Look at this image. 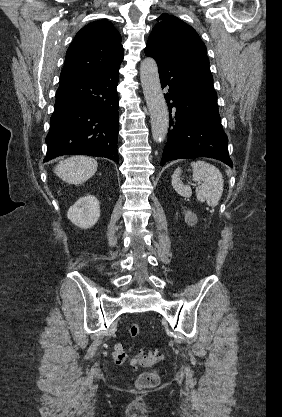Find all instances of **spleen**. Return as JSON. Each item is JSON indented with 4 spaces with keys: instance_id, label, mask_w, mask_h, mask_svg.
Returning a JSON list of instances; mask_svg holds the SVG:
<instances>
[{
    "instance_id": "1",
    "label": "spleen",
    "mask_w": 282,
    "mask_h": 417,
    "mask_svg": "<svg viewBox=\"0 0 282 417\" xmlns=\"http://www.w3.org/2000/svg\"><path fill=\"white\" fill-rule=\"evenodd\" d=\"M193 168V180H202L200 186H196V196L199 202H207L209 206H215L218 204L224 186V180L222 172H220L217 166L205 162V160H196L191 162ZM181 172L180 166L176 168L174 174H172V184L178 194L189 198L192 194V190L189 184H183L179 178Z\"/></svg>"
}]
</instances>
